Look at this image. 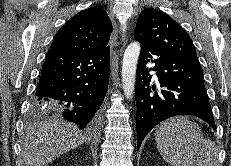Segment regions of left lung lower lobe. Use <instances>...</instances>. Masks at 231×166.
Listing matches in <instances>:
<instances>
[{
    "instance_id": "0a47b994",
    "label": "left lung lower lobe",
    "mask_w": 231,
    "mask_h": 166,
    "mask_svg": "<svg viewBox=\"0 0 231 166\" xmlns=\"http://www.w3.org/2000/svg\"><path fill=\"white\" fill-rule=\"evenodd\" d=\"M134 38L141 45L135 86L138 148L152 128L176 115L197 116L215 129L199 60L171 56ZM148 63L155 66L147 68Z\"/></svg>"
}]
</instances>
